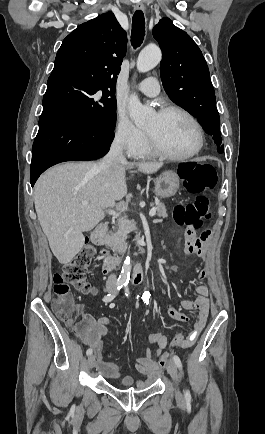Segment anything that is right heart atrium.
Returning <instances> with one entry per match:
<instances>
[{"instance_id": "obj_1", "label": "right heart atrium", "mask_w": 265, "mask_h": 434, "mask_svg": "<svg viewBox=\"0 0 265 434\" xmlns=\"http://www.w3.org/2000/svg\"><path fill=\"white\" fill-rule=\"evenodd\" d=\"M115 122L112 123V130L115 139L112 140L113 148H121L122 157L130 159L132 154H140L146 149L147 138L142 125H135L129 118L126 101H117ZM134 141L136 144L134 145Z\"/></svg>"}]
</instances>
